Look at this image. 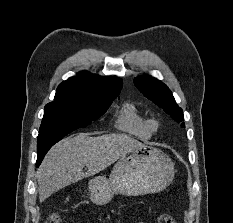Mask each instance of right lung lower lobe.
<instances>
[{
	"label": "right lung lower lobe",
	"mask_w": 233,
	"mask_h": 223,
	"mask_svg": "<svg viewBox=\"0 0 233 223\" xmlns=\"http://www.w3.org/2000/svg\"><path fill=\"white\" fill-rule=\"evenodd\" d=\"M51 148V147H50ZM49 148V149H50ZM48 149V150H49ZM48 150H45V151H43V152H41V153H38V158H37V162H36V165H37V167L40 165V163L42 162V159L44 158V156H45V154L48 152Z\"/></svg>",
	"instance_id": "98d812e1"
}]
</instances>
